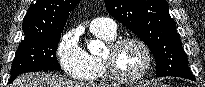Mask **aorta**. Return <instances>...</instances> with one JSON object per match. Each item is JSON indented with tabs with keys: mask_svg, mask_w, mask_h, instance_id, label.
I'll list each match as a JSON object with an SVG mask.
<instances>
[{
	"mask_svg": "<svg viewBox=\"0 0 205 87\" xmlns=\"http://www.w3.org/2000/svg\"><path fill=\"white\" fill-rule=\"evenodd\" d=\"M101 45H102V42L100 40H92V41L87 42V47L91 51L98 49Z\"/></svg>",
	"mask_w": 205,
	"mask_h": 87,
	"instance_id": "762f6f07",
	"label": "aorta"
}]
</instances>
